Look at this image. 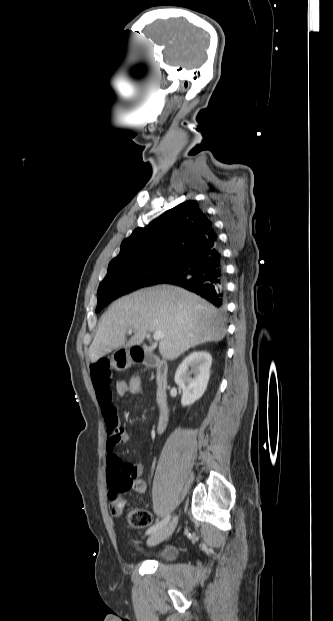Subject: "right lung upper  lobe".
I'll return each instance as SVG.
<instances>
[{"mask_svg": "<svg viewBox=\"0 0 333 621\" xmlns=\"http://www.w3.org/2000/svg\"><path fill=\"white\" fill-rule=\"evenodd\" d=\"M217 241L214 225L197 201L188 200L164 212L146 227L124 239L109 264L179 257L198 252Z\"/></svg>", "mask_w": 333, "mask_h": 621, "instance_id": "right-lung-upper-lobe-1", "label": "right lung upper lobe"}]
</instances>
